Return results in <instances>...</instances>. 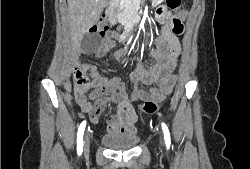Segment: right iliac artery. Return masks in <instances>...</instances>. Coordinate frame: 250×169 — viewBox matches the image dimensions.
I'll return each mask as SVG.
<instances>
[{"instance_id": "82829eb1", "label": "right iliac artery", "mask_w": 250, "mask_h": 169, "mask_svg": "<svg viewBox=\"0 0 250 169\" xmlns=\"http://www.w3.org/2000/svg\"><path fill=\"white\" fill-rule=\"evenodd\" d=\"M85 127H86V121H83L78 128V132H77V153H78V155H81L82 151H83V134H84Z\"/></svg>"}]
</instances>
